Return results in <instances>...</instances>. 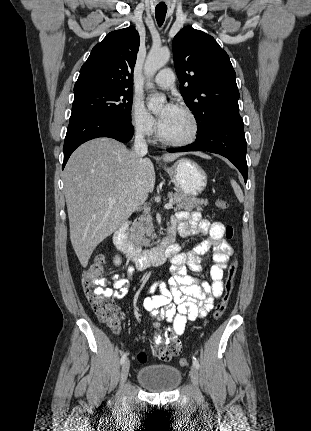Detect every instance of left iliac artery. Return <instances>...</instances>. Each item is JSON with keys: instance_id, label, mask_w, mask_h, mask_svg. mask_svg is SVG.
<instances>
[{"instance_id": "obj_1", "label": "left iliac artery", "mask_w": 311, "mask_h": 431, "mask_svg": "<svg viewBox=\"0 0 311 431\" xmlns=\"http://www.w3.org/2000/svg\"><path fill=\"white\" fill-rule=\"evenodd\" d=\"M193 365H194L197 369H199V362H198L197 358H196V357H194V356H193Z\"/></svg>"}]
</instances>
